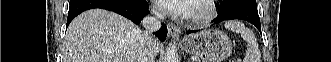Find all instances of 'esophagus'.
<instances>
[{
    "label": "esophagus",
    "instance_id": "esophagus-1",
    "mask_svg": "<svg viewBox=\"0 0 331 62\" xmlns=\"http://www.w3.org/2000/svg\"><path fill=\"white\" fill-rule=\"evenodd\" d=\"M168 33L172 38H179L181 35V30L174 24L168 23L167 25Z\"/></svg>",
    "mask_w": 331,
    "mask_h": 62
}]
</instances>
